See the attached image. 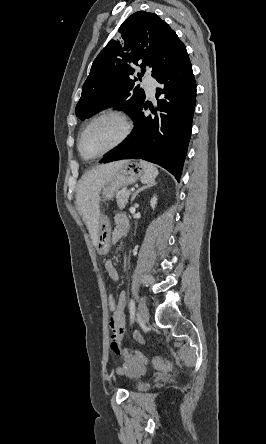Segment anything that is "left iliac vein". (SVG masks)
I'll return each instance as SVG.
<instances>
[{
	"label": "left iliac vein",
	"instance_id": "4c4485c4",
	"mask_svg": "<svg viewBox=\"0 0 266 444\" xmlns=\"http://www.w3.org/2000/svg\"><path fill=\"white\" fill-rule=\"evenodd\" d=\"M138 314H139L141 320L144 323L148 322V320H149V311H148V308H147L146 304L143 301H140V303H139Z\"/></svg>",
	"mask_w": 266,
	"mask_h": 444
}]
</instances>
